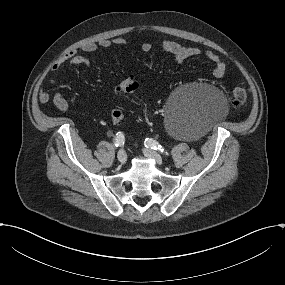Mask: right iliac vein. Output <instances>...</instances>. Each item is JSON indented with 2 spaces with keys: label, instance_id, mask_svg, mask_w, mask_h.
Masks as SVG:
<instances>
[{
  "label": "right iliac vein",
  "instance_id": "1",
  "mask_svg": "<svg viewBox=\"0 0 285 285\" xmlns=\"http://www.w3.org/2000/svg\"><path fill=\"white\" fill-rule=\"evenodd\" d=\"M117 159L120 163H125L126 160H127V154L125 151H119L118 154H117Z\"/></svg>",
  "mask_w": 285,
  "mask_h": 285
}]
</instances>
